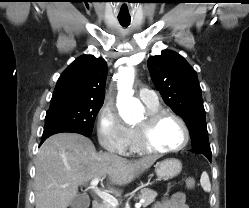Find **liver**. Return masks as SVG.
<instances>
[{
    "label": "liver",
    "instance_id": "1",
    "mask_svg": "<svg viewBox=\"0 0 249 208\" xmlns=\"http://www.w3.org/2000/svg\"><path fill=\"white\" fill-rule=\"evenodd\" d=\"M156 160L152 156L127 160L98 153L92 141L83 135L55 134L42 144L37 154L35 208H67L80 185L106 175L113 184L127 185Z\"/></svg>",
    "mask_w": 249,
    "mask_h": 208
}]
</instances>
